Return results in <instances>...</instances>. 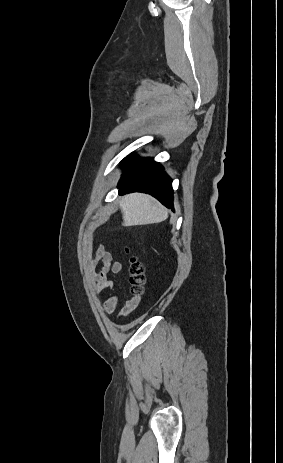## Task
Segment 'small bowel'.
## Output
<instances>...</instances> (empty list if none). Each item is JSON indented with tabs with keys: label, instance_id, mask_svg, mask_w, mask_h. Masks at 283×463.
Returning <instances> with one entry per match:
<instances>
[{
	"label": "small bowel",
	"instance_id": "small-bowel-1",
	"mask_svg": "<svg viewBox=\"0 0 283 463\" xmlns=\"http://www.w3.org/2000/svg\"><path fill=\"white\" fill-rule=\"evenodd\" d=\"M101 263L102 268L99 272L96 271L97 265ZM90 268L92 270V276L95 280V293L101 294L106 289H112L114 287L113 282L108 279V274L113 273L120 275L123 273V265L119 261H114L113 256L110 252L106 251L104 245L100 244L95 250L91 260ZM120 298L114 294L109 296L102 305V310L105 314H112L119 304ZM134 307L133 300L127 301L126 305L122 309V313L131 310Z\"/></svg>",
	"mask_w": 283,
	"mask_h": 463
}]
</instances>
